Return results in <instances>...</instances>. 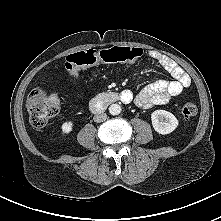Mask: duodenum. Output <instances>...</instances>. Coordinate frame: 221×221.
Listing matches in <instances>:
<instances>
[{"label": "duodenum", "instance_id": "410a0bca", "mask_svg": "<svg viewBox=\"0 0 221 221\" xmlns=\"http://www.w3.org/2000/svg\"><path fill=\"white\" fill-rule=\"evenodd\" d=\"M131 96L128 93L106 92L91 102L90 108L94 113L103 112L114 102L129 103Z\"/></svg>", "mask_w": 221, "mask_h": 221}]
</instances>
